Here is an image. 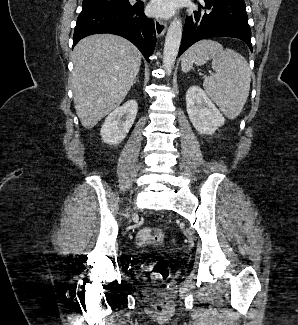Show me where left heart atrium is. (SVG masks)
Masks as SVG:
<instances>
[{"instance_id": "left-heart-atrium-1", "label": "left heart atrium", "mask_w": 298, "mask_h": 325, "mask_svg": "<svg viewBox=\"0 0 298 325\" xmlns=\"http://www.w3.org/2000/svg\"><path fill=\"white\" fill-rule=\"evenodd\" d=\"M175 3L173 0H155L149 6L151 14L159 17H167L173 13Z\"/></svg>"}]
</instances>
